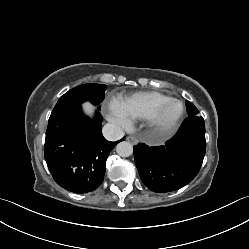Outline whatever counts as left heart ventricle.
<instances>
[{
  "label": "left heart ventricle",
  "instance_id": "obj_1",
  "mask_svg": "<svg viewBox=\"0 0 249 249\" xmlns=\"http://www.w3.org/2000/svg\"><path fill=\"white\" fill-rule=\"evenodd\" d=\"M180 107L178 104H172L170 107L167 109V111L164 114V120L165 121H171L176 114L178 113Z\"/></svg>",
  "mask_w": 249,
  "mask_h": 249
}]
</instances>
